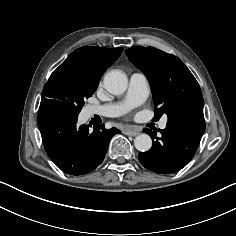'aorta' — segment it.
<instances>
[{
	"label": "aorta",
	"mask_w": 236,
	"mask_h": 236,
	"mask_svg": "<svg viewBox=\"0 0 236 236\" xmlns=\"http://www.w3.org/2000/svg\"><path fill=\"white\" fill-rule=\"evenodd\" d=\"M103 83L109 93L120 95L126 91L128 79L122 71L112 70L104 76ZM134 146L141 152L149 151L152 147V139L148 134H140L134 139Z\"/></svg>",
	"instance_id": "obj_1"
}]
</instances>
